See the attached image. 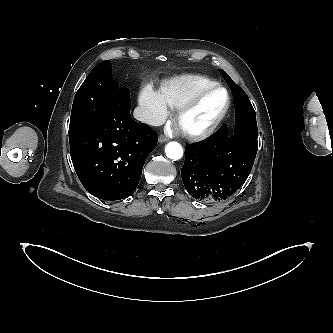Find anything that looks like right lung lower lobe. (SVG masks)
Returning a JSON list of instances; mask_svg holds the SVG:
<instances>
[{"instance_id": "right-lung-lower-lobe-1", "label": "right lung lower lobe", "mask_w": 333, "mask_h": 333, "mask_svg": "<svg viewBox=\"0 0 333 333\" xmlns=\"http://www.w3.org/2000/svg\"><path fill=\"white\" fill-rule=\"evenodd\" d=\"M69 141L73 166L85 189L103 200H119L135 191L157 135L131 118L129 89L122 88L104 114Z\"/></svg>"}]
</instances>
